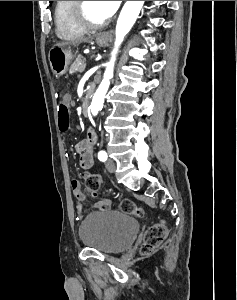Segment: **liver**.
Returning <instances> with one entry per match:
<instances>
[{
	"label": "liver",
	"mask_w": 237,
	"mask_h": 300,
	"mask_svg": "<svg viewBox=\"0 0 237 300\" xmlns=\"http://www.w3.org/2000/svg\"><path fill=\"white\" fill-rule=\"evenodd\" d=\"M92 37H86V39H83L84 43H87V41H90ZM64 45H68V43H57V45H54V47H64Z\"/></svg>",
	"instance_id": "1"
}]
</instances>
